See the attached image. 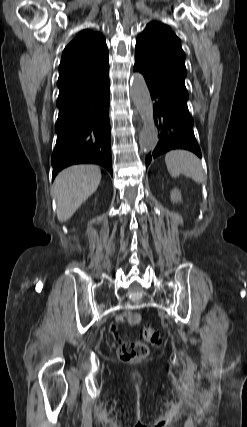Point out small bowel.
Segmentation results:
<instances>
[{
  "label": "small bowel",
  "mask_w": 247,
  "mask_h": 427,
  "mask_svg": "<svg viewBox=\"0 0 247 427\" xmlns=\"http://www.w3.org/2000/svg\"><path fill=\"white\" fill-rule=\"evenodd\" d=\"M140 319L141 316L138 313L122 312L116 316L115 322L109 326V332L117 341L122 342L123 338L119 333L118 324L135 325L139 323Z\"/></svg>",
  "instance_id": "1"
}]
</instances>
